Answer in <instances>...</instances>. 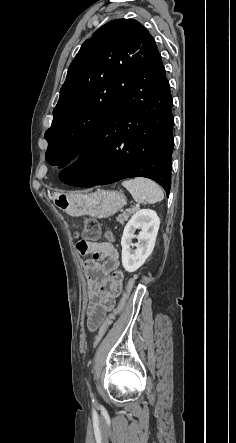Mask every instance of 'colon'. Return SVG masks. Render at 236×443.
Here are the masks:
<instances>
[{
  "label": "colon",
  "instance_id": "5ec220e1",
  "mask_svg": "<svg viewBox=\"0 0 236 443\" xmlns=\"http://www.w3.org/2000/svg\"><path fill=\"white\" fill-rule=\"evenodd\" d=\"M105 236L107 239L112 238L111 232H107L105 234ZM83 237L87 241H90L91 243H98L100 241V239L102 237V229H101V225L98 220H96L94 218L85 219L84 229H83ZM78 249L83 252L86 250V245L83 243H80L78 245ZM132 288H133V281H130L127 285L126 293H125L124 297L122 298L119 306L108 315V317L104 320L102 325L99 327V329L95 335L93 345H92L94 350H96L100 347V345L102 344V342L104 340V337H105V334H106L108 328L110 327L112 322L116 319V317L123 310L126 300H127V297H128V294L130 293Z\"/></svg>",
  "mask_w": 236,
  "mask_h": 443
}]
</instances>
